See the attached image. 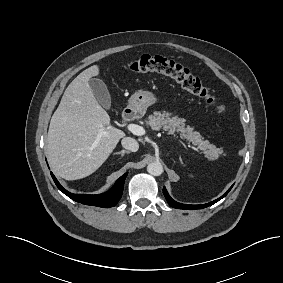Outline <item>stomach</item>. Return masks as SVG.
Masks as SVG:
<instances>
[{
	"label": "stomach",
	"instance_id": "stomach-1",
	"mask_svg": "<svg viewBox=\"0 0 283 283\" xmlns=\"http://www.w3.org/2000/svg\"><path fill=\"white\" fill-rule=\"evenodd\" d=\"M157 101L155 94L151 91L140 90L135 92L128 101V108L135 114L144 115L149 106Z\"/></svg>",
	"mask_w": 283,
	"mask_h": 283
}]
</instances>
